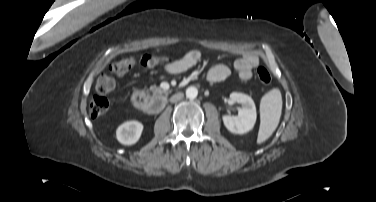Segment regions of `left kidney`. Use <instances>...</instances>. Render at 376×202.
<instances>
[{"mask_svg": "<svg viewBox=\"0 0 376 202\" xmlns=\"http://www.w3.org/2000/svg\"><path fill=\"white\" fill-rule=\"evenodd\" d=\"M230 101L237 102L242 105L237 116L224 115L223 123L225 127L232 133L244 134L249 132L256 122L257 113L253 99L243 93L232 92Z\"/></svg>", "mask_w": 376, "mask_h": 202, "instance_id": "1", "label": "left kidney"}]
</instances>
